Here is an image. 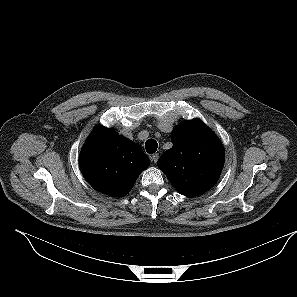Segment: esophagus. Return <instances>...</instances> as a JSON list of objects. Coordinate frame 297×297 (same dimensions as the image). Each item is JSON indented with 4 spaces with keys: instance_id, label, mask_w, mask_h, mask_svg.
Here are the masks:
<instances>
[{
    "instance_id": "obj_1",
    "label": "esophagus",
    "mask_w": 297,
    "mask_h": 297,
    "mask_svg": "<svg viewBox=\"0 0 297 297\" xmlns=\"http://www.w3.org/2000/svg\"><path fill=\"white\" fill-rule=\"evenodd\" d=\"M158 158H159V154L158 153H155V154H153L151 156V161H153L154 163H156L157 160H158Z\"/></svg>"
}]
</instances>
